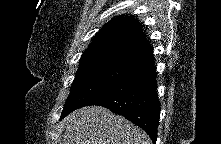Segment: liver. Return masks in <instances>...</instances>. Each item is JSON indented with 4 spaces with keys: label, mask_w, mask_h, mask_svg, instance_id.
Returning a JSON list of instances; mask_svg holds the SVG:
<instances>
[{
    "label": "liver",
    "mask_w": 221,
    "mask_h": 144,
    "mask_svg": "<svg viewBox=\"0 0 221 144\" xmlns=\"http://www.w3.org/2000/svg\"><path fill=\"white\" fill-rule=\"evenodd\" d=\"M62 124L63 144H152L139 127L99 106L82 107L66 116Z\"/></svg>",
    "instance_id": "6515ba94"
}]
</instances>
